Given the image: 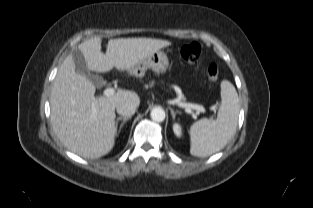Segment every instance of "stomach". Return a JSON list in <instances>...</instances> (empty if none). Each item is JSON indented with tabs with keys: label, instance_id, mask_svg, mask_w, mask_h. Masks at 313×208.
Returning a JSON list of instances; mask_svg holds the SVG:
<instances>
[{
	"label": "stomach",
	"instance_id": "0dacf381",
	"mask_svg": "<svg viewBox=\"0 0 313 208\" xmlns=\"http://www.w3.org/2000/svg\"><path fill=\"white\" fill-rule=\"evenodd\" d=\"M169 68V60L163 51H156L129 69L130 75L143 77L147 69L164 74Z\"/></svg>",
	"mask_w": 313,
	"mask_h": 208
}]
</instances>
